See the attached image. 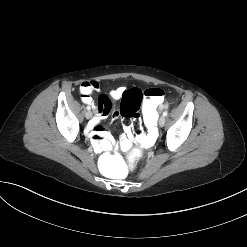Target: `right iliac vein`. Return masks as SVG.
<instances>
[{
  "label": "right iliac vein",
  "instance_id": "right-iliac-vein-1",
  "mask_svg": "<svg viewBox=\"0 0 247 247\" xmlns=\"http://www.w3.org/2000/svg\"><path fill=\"white\" fill-rule=\"evenodd\" d=\"M85 117H86L87 119L92 118V112H91V111H87V112L85 113Z\"/></svg>",
  "mask_w": 247,
  "mask_h": 247
}]
</instances>
